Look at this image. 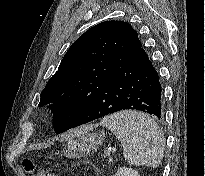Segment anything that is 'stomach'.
Instances as JSON below:
<instances>
[{
	"label": "stomach",
	"mask_w": 205,
	"mask_h": 176,
	"mask_svg": "<svg viewBox=\"0 0 205 176\" xmlns=\"http://www.w3.org/2000/svg\"><path fill=\"white\" fill-rule=\"evenodd\" d=\"M89 129L81 131L72 137L64 146L63 155L68 158H78L93 154L104 141L103 133L90 132Z\"/></svg>",
	"instance_id": "stomach-1"
}]
</instances>
